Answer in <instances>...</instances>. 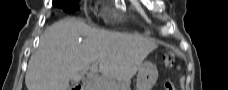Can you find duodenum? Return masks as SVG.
<instances>
[{
	"label": "duodenum",
	"instance_id": "obj_1",
	"mask_svg": "<svg viewBox=\"0 0 228 90\" xmlns=\"http://www.w3.org/2000/svg\"><path fill=\"white\" fill-rule=\"evenodd\" d=\"M73 90H86L82 86H75Z\"/></svg>",
	"mask_w": 228,
	"mask_h": 90
}]
</instances>
